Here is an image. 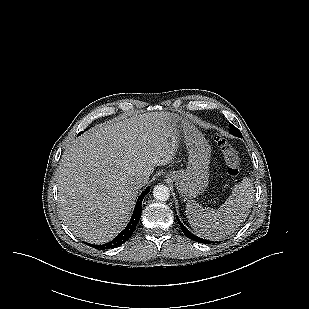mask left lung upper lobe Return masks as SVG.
Listing matches in <instances>:
<instances>
[{
  "label": "left lung upper lobe",
  "mask_w": 309,
  "mask_h": 309,
  "mask_svg": "<svg viewBox=\"0 0 309 309\" xmlns=\"http://www.w3.org/2000/svg\"><path fill=\"white\" fill-rule=\"evenodd\" d=\"M229 132L237 137H242L241 132L239 131V129H237L234 125H232L231 123H229Z\"/></svg>",
  "instance_id": "obj_1"
}]
</instances>
